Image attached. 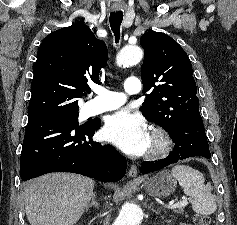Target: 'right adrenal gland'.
<instances>
[{
	"instance_id": "1",
	"label": "right adrenal gland",
	"mask_w": 237,
	"mask_h": 225,
	"mask_svg": "<svg viewBox=\"0 0 237 225\" xmlns=\"http://www.w3.org/2000/svg\"><path fill=\"white\" fill-rule=\"evenodd\" d=\"M92 206H94V207H96V208L99 207V204H98V202L96 201V194H95V192L92 194L91 203H89V204L86 206V208H85L86 211H88L89 208L92 207Z\"/></svg>"
}]
</instances>
